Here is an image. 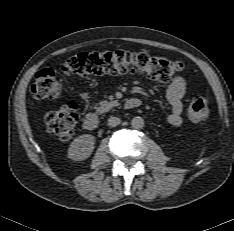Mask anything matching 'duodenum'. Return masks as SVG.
<instances>
[{
	"label": "duodenum",
	"mask_w": 234,
	"mask_h": 231,
	"mask_svg": "<svg viewBox=\"0 0 234 231\" xmlns=\"http://www.w3.org/2000/svg\"><path fill=\"white\" fill-rule=\"evenodd\" d=\"M141 105V100L135 97L127 99L125 106L128 109H135ZM100 120L97 114L88 113L84 118V127L87 130H94L99 127Z\"/></svg>",
	"instance_id": "410a0bca"
}]
</instances>
